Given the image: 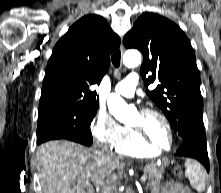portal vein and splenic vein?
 Returning <instances> with one entry per match:
<instances>
[{
	"mask_svg": "<svg viewBox=\"0 0 221 193\" xmlns=\"http://www.w3.org/2000/svg\"><path fill=\"white\" fill-rule=\"evenodd\" d=\"M141 182H145L147 180V176L143 174L140 178Z\"/></svg>",
	"mask_w": 221,
	"mask_h": 193,
	"instance_id": "obj_1",
	"label": "portal vein and splenic vein"
}]
</instances>
